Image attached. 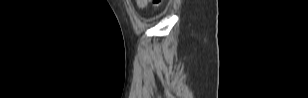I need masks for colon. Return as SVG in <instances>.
Here are the masks:
<instances>
[{
  "mask_svg": "<svg viewBox=\"0 0 308 98\" xmlns=\"http://www.w3.org/2000/svg\"><path fill=\"white\" fill-rule=\"evenodd\" d=\"M149 3H151L154 7H158L162 0H137V4L146 7Z\"/></svg>",
  "mask_w": 308,
  "mask_h": 98,
  "instance_id": "colon-1",
  "label": "colon"
}]
</instances>
